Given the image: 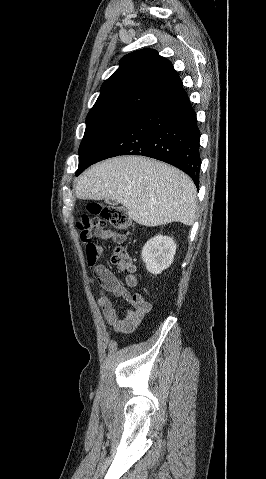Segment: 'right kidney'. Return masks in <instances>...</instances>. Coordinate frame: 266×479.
I'll return each mask as SVG.
<instances>
[{"label":"right kidney","instance_id":"ca27d5eb","mask_svg":"<svg viewBox=\"0 0 266 479\" xmlns=\"http://www.w3.org/2000/svg\"><path fill=\"white\" fill-rule=\"evenodd\" d=\"M176 243L168 236L157 235L147 241L141 253L147 271L157 275L173 262Z\"/></svg>","mask_w":266,"mask_h":479}]
</instances>
